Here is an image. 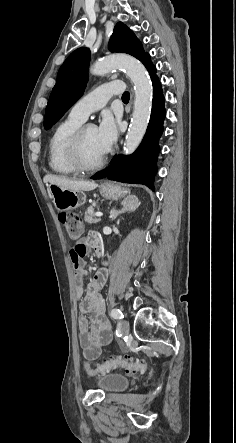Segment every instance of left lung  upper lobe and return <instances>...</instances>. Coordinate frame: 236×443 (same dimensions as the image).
Returning <instances> with one entry per match:
<instances>
[{
	"label": "left lung upper lobe",
	"mask_w": 236,
	"mask_h": 443,
	"mask_svg": "<svg viewBox=\"0 0 236 443\" xmlns=\"http://www.w3.org/2000/svg\"><path fill=\"white\" fill-rule=\"evenodd\" d=\"M109 50L130 54L142 61L147 53L132 30L118 22L109 41ZM90 50L81 47L73 51L60 67L57 80L46 107L44 128H51L81 97L88 81Z\"/></svg>",
	"instance_id": "left-lung-upper-lobe-1"
}]
</instances>
